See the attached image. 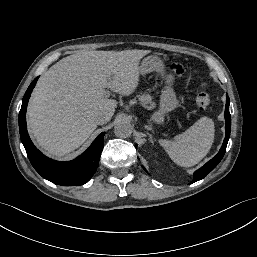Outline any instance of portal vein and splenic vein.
Returning a JSON list of instances; mask_svg holds the SVG:
<instances>
[{
    "instance_id": "18ae733b",
    "label": "portal vein and splenic vein",
    "mask_w": 257,
    "mask_h": 257,
    "mask_svg": "<svg viewBox=\"0 0 257 257\" xmlns=\"http://www.w3.org/2000/svg\"><path fill=\"white\" fill-rule=\"evenodd\" d=\"M104 95H105L106 97H109V96H110V91H109V90H104Z\"/></svg>"
}]
</instances>
